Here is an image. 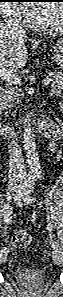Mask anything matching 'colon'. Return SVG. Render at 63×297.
<instances>
[{
    "instance_id": "obj_1",
    "label": "colon",
    "mask_w": 63,
    "mask_h": 297,
    "mask_svg": "<svg viewBox=\"0 0 63 297\" xmlns=\"http://www.w3.org/2000/svg\"><path fill=\"white\" fill-rule=\"evenodd\" d=\"M12 243L16 247L26 249L31 246L32 240L28 233L24 231H18L13 235Z\"/></svg>"
}]
</instances>
